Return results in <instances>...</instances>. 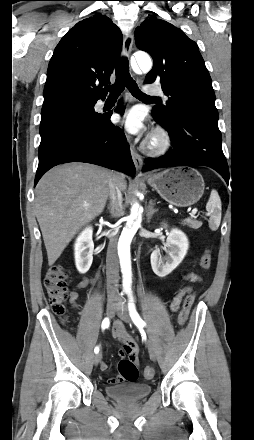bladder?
I'll return each mask as SVG.
<instances>
[{
	"label": "bladder",
	"instance_id": "bladder-1",
	"mask_svg": "<svg viewBox=\"0 0 254 440\" xmlns=\"http://www.w3.org/2000/svg\"><path fill=\"white\" fill-rule=\"evenodd\" d=\"M107 395L124 403H133L149 396L152 386L147 383H126L105 388Z\"/></svg>",
	"mask_w": 254,
	"mask_h": 440
}]
</instances>
